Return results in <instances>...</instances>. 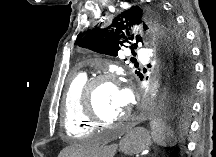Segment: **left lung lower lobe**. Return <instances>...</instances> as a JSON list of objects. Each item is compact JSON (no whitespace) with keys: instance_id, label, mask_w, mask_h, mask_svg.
I'll return each instance as SVG.
<instances>
[{"instance_id":"0a47b994","label":"left lung lower lobe","mask_w":216,"mask_h":157,"mask_svg":"<svg viewBox=\"0 0 216 157\" xmlns=\"http://www.w3.org/2000/svg\"><path fill=\"white\" fill-rule=\"evenodd\" d=\"M166 87L168 103L162 113V117L171 121L174 130L182 134L187 127L186 118L195 88L194 78L191 83L182 86L175 80L172 74Z\"/></svg>"}]
</instances>
